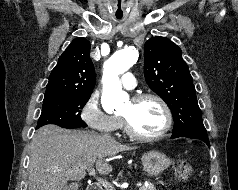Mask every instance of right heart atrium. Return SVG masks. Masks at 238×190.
<instances>
[{"label": "right heart atrium", "instance_id": "d8ad5b80", "mask_svg": "<svg viewBox=\"0 0 238 190\" xmlns=\"http://www.w3.org/2000/svg\"><path fill=\"white\" fill-rule=\"evenodd\" d=\"M82 120L93 130L111 133L118 128V119L103 111L98 93H92L81 109Z\"/></svg>", "mask_w": 238, "mask_h": 190}]
</instances>
